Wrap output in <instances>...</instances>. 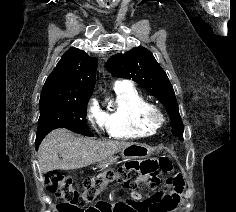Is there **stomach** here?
<instances>
[{"mask_svg":"<svg viewBox=\"0 0 236 212\" xmlns=\"http://www.w3.org/2000/svg\"><path fill=\"white\" fill-rule=\"evenodd\" d=\"M153 152H154V149L145 144L133 143L121 151V157L126 160L142 159V158L149 157ZM115 164H118V157L111 156L105 161L101 162L98 165V167L103 168V167H108Z\"/></svg>","mask_w":236,"mask_h":212,"instance_id":"obj_1","label":"stomach"}]
</instances>
